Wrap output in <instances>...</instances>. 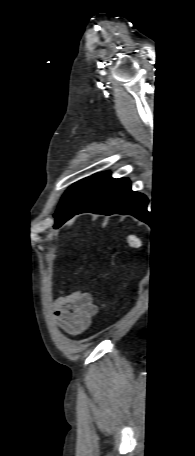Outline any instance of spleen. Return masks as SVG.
<instances>
[{"label":"spleen","mask_w":195,"mask_h":456,"mask_svg":"<svg viewBox=\"0 0 195 456\" xmlns=\"http://www.w3.org/2000/svg\"><path fill=\"white\" fill-rule=\"evenodd\" d=\"M128 242L131 246H139L140 245V240L137 239L135 236L130 235L128 237Z\"/></svg>","instance_id":"obj_1"}]
</instances>
